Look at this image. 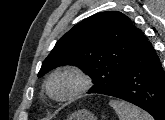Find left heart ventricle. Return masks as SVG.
Here are the masks:
<instances>
[{"label": "left heart ventricle", "mask_w": 165, "mask_h": 120, "mask_svg": "<svg viewBox=\"0 0 165 120\" xmlns=\"http://www.w3.org/2000/svg\"><path fill=\"white\" fill-rule=\"evenodd\" d=\"M75 85L71 76L63 75L57 77L52 83V90L56 96H64L69 93Z\"/></svg>", "instance_id": "b2bd125f"}]
</instances>
